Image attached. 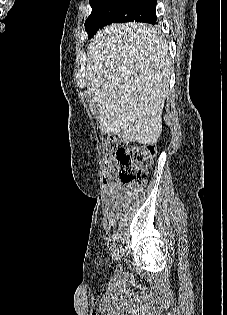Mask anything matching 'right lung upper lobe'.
Listing matches in <instances>:
<instances>
[{"label":"right lung upper lobe","mask_w":227,"mask_h":315,"mask_svg":"<svg viewBox=\"0 0 227 315\" xmlns=\"http://www.w3.org/2000/svg\"><path fill=\"white\" fill-rule=\"evenodd\" d=\"M92 1H97V0H89V2H92Z\"/></svg>","instance_id":"right-lung-upper-lobe-1"}]
</instances>
